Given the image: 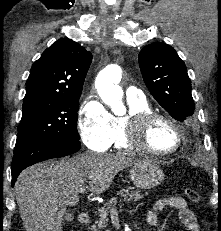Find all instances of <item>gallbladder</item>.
I'll use <instances>...</instances> for the list:
<instances>
[{
  "label": "gallbladder",
  "mask_w": 221,
  "mask_h": 231,
  "mask_svg": "<svg viewBox=\"0 0 221 231\" xmlns=\"http://www.w3.org/2000/svg\"><path fill=\"white\" fill-rule=\"evenodd\" d=\"M73 218H74V216H73V213H72V212H67V213H65V215H64V220H65L66 222L72 221Z\"/></svg>",
  "instance_id": "obj_1"
}]
</instances>
